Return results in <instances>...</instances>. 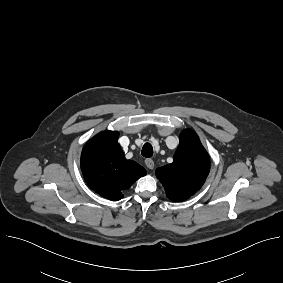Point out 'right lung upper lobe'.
<instances>
[{
  "mask_svg": "<svg viewBox=\"0 0 283 283\" xmlns=\"http://www.w3.org/2000/svg\"><path fill=\"white\" fill-rule=\"evenodd\" d=\"M119 133L104 131L90 139L81 154V169L87 184L101 196L118 201L146 170L127 160L118 144Z\"/></svg>",
  "mask_w": 283,
  "mask_h": 283,
  "instance_id": "right-lung-upper-lobe-1",
  "label": "right lung upper lobe"
}]
</instances>
